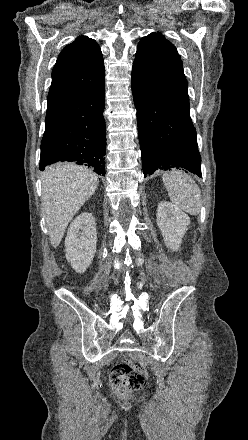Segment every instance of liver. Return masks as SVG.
Instances as JSON below:
<instances>
[{"label": "liver", "mask_w": 248, "mask_h": 440, "mask_svg": "<svg viewBox=\"0 0 248 440\" xmlns=\"http://www.w3.org/2000/svg\"><path fill=\"white\" fill-rule=\"evenodd\" d=\"M98 177L75 163L47 167L42 176L43 212L51 245L56 248L82 205L94 194Z\"/></svg>", "instance_id": "1"}]
</instances>
